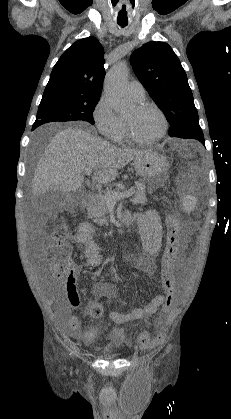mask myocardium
<instances>
[{
	"mask_svg": "<svg viewBox=\"0 0 231 419\" xmlns=\"http://www.w3.org/2000/svg\"><path fill=\"white\" fill-rule=\"evenodd\" d=\"M136 108L138 110H141V111L150 109V110H154L155 112H157L162 119L163 127H162L161 132L157 136H155L151 139H141L133 133L130 123L126 120L125 121V126H126V133H127L128 138L132 142H134L138 145H152V144L157 143L158 141H160L166 135V133L168 131L169 122H168L167 116L165 115V113L163 112V110L161 108H159L157 105H155L153 103L142 102V103H139L136 106Z\"/></svg>",
	"mask_w": 231,
	"mask_h": 419,
	"instance_id": "myocardium-1",
	"label": "myocardium"
}]
</instances>
